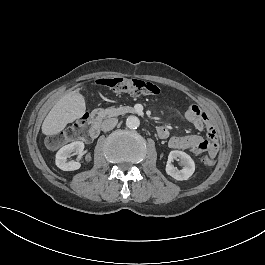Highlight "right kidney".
Listing matches in <instances>:
<instances>
[{"label": "right kidney", "mask_w": 265, "mask_h": 265, "mask_svg": "<svg viewBox=\"0 0 265 265\" xmlns=\"http://www.w3.org/2000/svg\"><path fill=\"white\" fill-rule=\"evenodd\" d=\"M84 143L82 141L72 142L63 146L56 153V166L63 171H74L81 167V164L77 161H67L72 153L78 154L80 157L83 155Z\"/></svg>", "instance_id": "ca27d5eb"}]
</instances>
